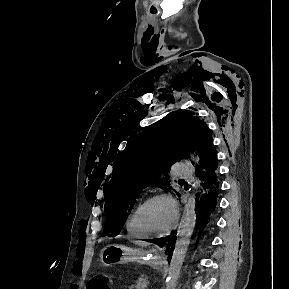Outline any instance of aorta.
I'll return each instance as SVG.
<instances>
[{"label":"aorta","mask_w":289,"mask_h":289,"mask_svg":"<svg viewBox=\"0 0 289 289\" xmlns=\"http://www.w3.org/2000/svg\"><path fill=\"white\" fill-rule=\"evenodd\" d=\"M191 159L198 164L199 157L191 154ZM196 224L195 196L189 197L181 217L180 225L177 231V240L175 249L170 261L168 277L166 280V289H176L180 276L181 268L188 251L190 239Z\"/></svg>","instance_id":"obj_1"}]
</instances>
